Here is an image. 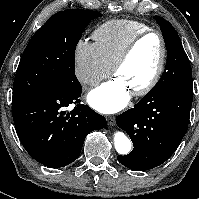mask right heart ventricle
<instances>
[{
  "mask_svg": "<svg viewBox=\"0 0 199 199\" xmlns=\"http://www.w3.org/2000/svg\"><path fill=\"white\" fill-rule=\"evenodd\" d=\"M148 29V25L138 20H110L94 30L93 39L102 56L112 66L125 46Z\"/></svg>",
  "mask_w": 199,
  "mask_h": 199,
  "instance_id": "right-heart-ventricle-1",
  "label": "right heart ventricle"
}]
</instances>
